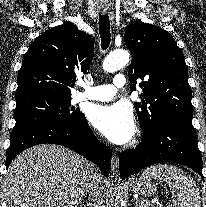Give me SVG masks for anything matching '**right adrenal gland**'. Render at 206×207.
I'll return each instance as SVG.
<instances>
[{
    "mask_svg": "<svg viewBox=\"0 0 206 207\" xmlns=\"http://www.w3.org/2000/svg\"><path fill=\"white\" fill-rule=\"evenodd\" d=\"M89 204H90V199L88 200V202L84 201L81 207H89Z\"/></svg>",
    "mask_w": 206,
    "mask_h": 207,
    "instance_id": "1",
    "label": "right adrenal gland"
}]
</instances>
